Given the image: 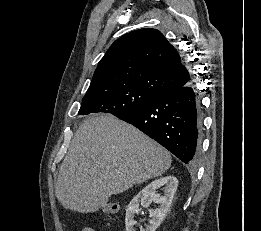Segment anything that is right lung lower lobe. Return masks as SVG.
I'll use <instances>...</instances> for the list:
<instances>
[{"mask_svg": "<svg viewBox=\"0 0 261 231\" xmlns=\"http://www.w3.org/2000/svg\"><path fill=\"white\" fill-rule=\"evenodd\" d=\"M118 118L156 140L182 162L190 165L197 162L201 145L202 114L198 91L191 82Z\"/></svg>", "mask_w": 261, "mask_h": 231, "instance_id": "98d812e1", "label": "right lung lower lobe"}]
</instances>
